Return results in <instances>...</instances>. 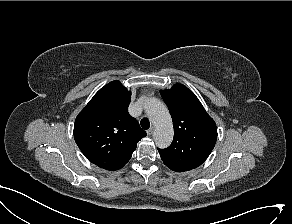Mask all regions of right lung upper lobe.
I'll use <instances>...</instances> for the list:
<instances>
[{
    "label": "right lung upper lobe",
    "mask_w": 292,
    "mask_h": 224,
    "mask_svg": "<svg viewBox=\"0 0 292 224\" xmlns=\"http://www.w3.org/2000/svg\"><path fill=\"white\" fill-rule=\"evenodd\" d=\"M130 101L131 92L115 80L102 87L76 117L74 139L78 147L103 169L122 168L146 136L128 113Z\"/></svg>",
    "instance_id": "right-lung-upper-lobe-1"
}]
</instances>
